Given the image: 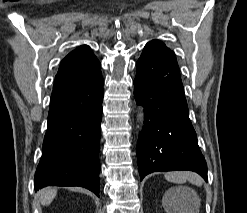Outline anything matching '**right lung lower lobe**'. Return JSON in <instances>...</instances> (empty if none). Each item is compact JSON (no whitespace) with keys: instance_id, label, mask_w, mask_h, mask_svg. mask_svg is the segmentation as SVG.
<instances>
[{"instance_id":"98d812e1","label":"right lung lower lobe","mask_w":247,"mask_h":213,"mask_svg":"<svg viewBox=\"0 0 247 213\" xmlns=\"http://www.w3.org/2000/svg\"><path fill=\"white\" fill-rule=\"evenodd\" d=\"M103 95L100 67L54 83L35 190L81 186L99 196Z\"/></svg>"}]
</instances>
